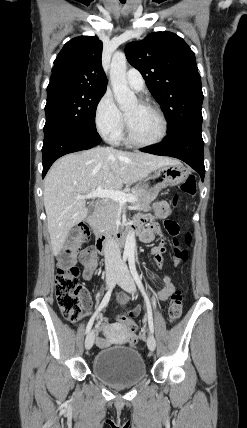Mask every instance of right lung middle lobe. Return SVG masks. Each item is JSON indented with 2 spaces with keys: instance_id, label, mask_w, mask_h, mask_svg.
<instances>
[{
  "instance_id": "1",
  "label": "right lung middle lobe",
  "mask_w": 247,
  "mask_h": 428,
  "mask_svg": "<svg viewBox=\"0 0 247 428\" xmlns=\"http://www.w3.org/2000/svg\"><path fill=\"white\" fill-rule=\"evenodd\" d=\"M105 91L71 88L47 93L44 131L54 127H71L97 132L95 114Z\"/></svg>"
}]
</instances>
